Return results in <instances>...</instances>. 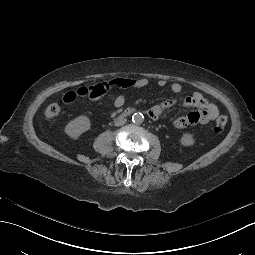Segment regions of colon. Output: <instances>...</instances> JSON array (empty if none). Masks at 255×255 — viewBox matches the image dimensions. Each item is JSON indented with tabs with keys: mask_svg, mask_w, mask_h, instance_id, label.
<instances>
[{
	"mask_svg": "<svg viewBox=\"0 0 255 255\" xmlns=\"http://www.w3.org/2000/svg\"><path fill=\"white\" fill-rule=\"evenodd\" d=\"M61 112V106L58 103H50L47 105L45 109V115L48 119H54L56 118ZM228 122V118L226 115H220L213 126V130L215 132H222L224 128L226 127Z\"/></svg>",
	"mask_w": 255,
	"mask_h": 255,
	"instance_id": "colon-1",
	"label": "colon"
}]
</instances>
